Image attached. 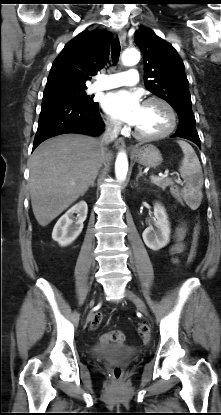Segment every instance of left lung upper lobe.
Masks as SVG:
<instances>
[{"label": "left lung upper lobe", "mask_w": 221, "mask_h": 415, "mask_svg": "<svg viewBox=\"0 0 221 415\" xmlns=\"http://www.w3.org/2000/svg\"><path fill=\"white\" fill-rule=\"evenodd\" d=\"M135 43L144 56L146 88L167 101L178 113L179 121H195L189 82L177 51L147 27H142L136 32Z\"/></svg>", "instance_id": "obj_1"}]
</instances>
